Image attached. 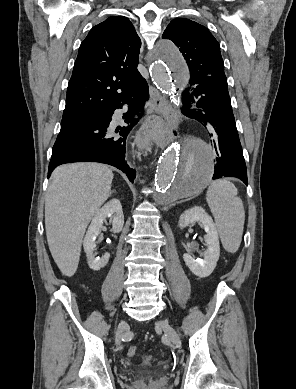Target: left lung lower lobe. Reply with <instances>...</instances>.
Returning <instances> with one entry per match:
<instances>
[{"label": "left lung lower lobe", "mask_w": 296, "mask_h": 389, "mask_svg": "<svg viewBox=\"0 0 296 389\" xmlns=\"http://www.w3.org/2000/svg\"><path fill=\"white\" fill-rule=\"evenodd\" d=\"M204 78L187 84L192 87V92L188 95L187 91L190 88H187L183 93L182 112L212 130L211 143L216 153L213 179L232 176L248 185L247 170L232 112L227 79L226 77L217 80L211 77ZM191 105L196 108L189 109Z\"/></svg>", "instance_id": "left-lung-lower-lobe-1"}]
</instances>
